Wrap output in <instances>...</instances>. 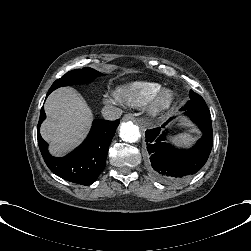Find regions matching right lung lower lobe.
Masks as SVG:
<instances>
[{
	"instance_id": "right-lung-lower-lobe-1",
	"label": "right lung lower lobe",
	"mask_w": 251,
	"mask_h": 251,
	"mask_svg": "<svg viewBox=\"0 0 251 251\" xmlns=\"http://www.w3.org/2000/svg\"><path fill=\"white\" fill-rule=\"evenodd\" d=\"M45 118L46 114L42 107L37 127V139L46 165L53 173L67 181L91 185L105 168L108 147L120 121L94 120L84 142L68 155L57 158L48 152V144L40 135V125Z\"/></svg>"
}]
</instances>
